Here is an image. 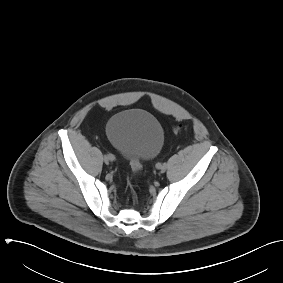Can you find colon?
Masks as SVG:
<instances>
[{
    "label": "colon",
    "instance_id": "5ec220e1",
    "mask_svg": "<svg viewBox=\"0 0 283 283\" xmlns=\"http://www.w3.org/2000/svg\"><path fill=\"white\" fill-rule=\"evenodd\" d=\"M182 127L181 126H178L174 129L175 132H179L181 131ZM130 165H131V168L133 170V172L135 174H139L141 172V163L139 160L137 159H131L130 160Z\"/></svg>",
    "mask_w": 283,
    "mask_h": 283
}]
</instances>
